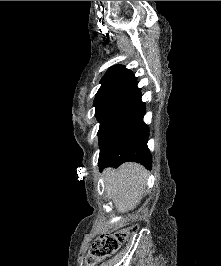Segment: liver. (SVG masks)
Instances as JSON below:
<instances>
[{"label": "liver", "mask_w": 221, "mask_h": 266, "mask_svg": "<svg viewBox=\"0 0 221 266\" xmlns=\"http://www.w3.org/2000/svg\"><path fill=\"white\" fill-rule=\"evenodd\" d=\"M105 188L118 212L125 213L140 203L147 180V171L137 163H125L117 169L103 171Z\"/></svg>", "instance_id": "liver-1"}]
</instances>
